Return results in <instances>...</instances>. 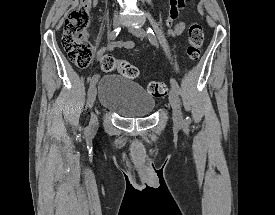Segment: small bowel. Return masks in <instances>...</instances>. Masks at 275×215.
<instances>
[{"mask_svg": "<svg viewBox=\"0 0 275 215\" xmlns=\"http://www.w3.org/2000/svg\"><path fill=\"white\" fill-rule=\"evenodd\" d=\"M98 0H93L92 6L97 5ZM169 19L165 21L164 25L170 27L174 20L179 16V10L186 7V0H170ZM201 8V7H200ZM186 28V24L179 22L174 27L168 30L167 35L169 37H176L181 35ZM115 48L134 49L135 43L133 41H115L109 44L107 47L100 48L96 51L97 60H99L106 51H111Z\"/></svg>", "mask_w": 275, "mask_h": 215, "instance_id": "1", "label": "small bowel"}]
</instances>
